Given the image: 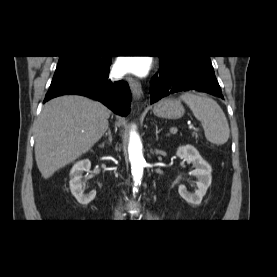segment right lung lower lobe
Instances as JSON below:
<instances>
[{"label": "right lung lower lobe", "instance_id": "right-lung-lower-lobe-1", "mask_svg": "<svg viewBox=\"0 0 277 277\" xmlns=\"http://www.w3.org/2000/svg\"><path fill=\"white\" fill-rule=\"evenodd\" d=\"M110 64L111 58L109 57L103 65L93 72L65 84L50 87L44 102L61 95L77 94L94 98L115 113L126 116L130 111L131 92L127 82H115L108 78Z\"/></svg>", "mask_w": 277, "mask_h": 277}]
</instances>
